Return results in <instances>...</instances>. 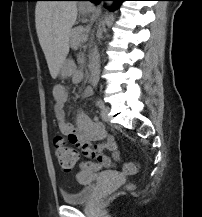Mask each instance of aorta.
Listing matches in <instances>:
<instances>
[{
    "label": "aorta",
    "instance_id": "762f6f07",
    "mask_svg": "<svg viewBox=\"0 0 202 217\" xmlns=\"http://www.w3.org/2000/svg\"><path fill=\"white\" fill-rule=\"evenodd\" d=\"M112 3H113V2H106V7H107V8H110V7L112 6Z\"/></svg>",
    "mask_w": 202,
    "mask_h": 217
}]
</instances>
